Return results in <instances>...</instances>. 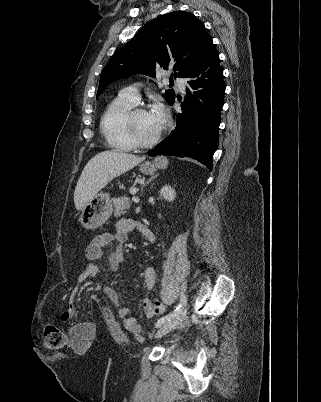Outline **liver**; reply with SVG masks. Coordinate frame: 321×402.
<instances>
[{
    "instance_id": "1",
    "label": "liver",
    "mask_w": 321,
    "mask_h": 402,
    "mask_svg": "<svg viewBox=\"0 0 321 402\" xmlns=\"http://www.w3.org/2000/svg\"><path fill=\"white\" fill-rule=\"evenodd\" d=\"M144 159L145 157L118 150L102 151L92 157L84 167L74 191L76 209L82 210L113 178L132 169Z\"/></svg>"
}]
</instances>
